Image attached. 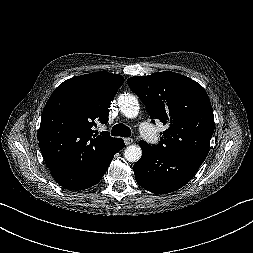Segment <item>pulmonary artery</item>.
I'll return each instance as SVG.
<instances>
[{"label": "pulmonary artery", "instance_id": "1", "mask_svg": "<svg viewBox=\"0 0 253 253\" xmlns=\"http://www.w3.org/2000/svg\"><path fill=\"white\" fill-rule=\"evenodd\" d=\"M140 133L147 139H150L153 135L152 129L147 126L146 123L142 122L139 125Z\"/></svg>", "mask_w": 253, "mask_h": 253}]
</instances>
